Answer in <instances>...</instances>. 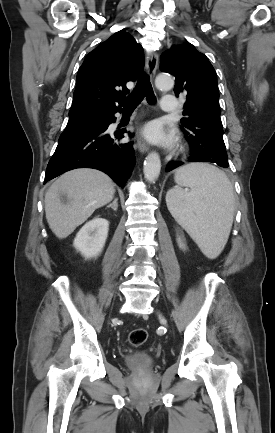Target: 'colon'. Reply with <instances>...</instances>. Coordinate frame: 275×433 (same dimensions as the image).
<instances>
[{"label":"colon","mask_w":275,"mask_h":433,"mask_svg":"<svg viewBox=\"0 0 275 433\" xmlns=\"http://www.w3.org/2000/svg\"><path fill=\"white\" fill-rule=\"evenodd\" d=\"M148 338V333L144 328L134 329L129 335V343L132 347L138 348L142 346Z\"/></svg>","instance_id":"obj_1"}]
</instances>
